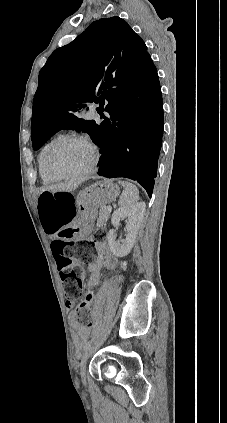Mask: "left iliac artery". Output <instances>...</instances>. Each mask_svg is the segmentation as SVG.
<instances>
[{"instance_id": "1", "label": "left iliac artery", "mask_w": 227, "mask_h": 423, "mask_svg": "<svg viewBox=\"0 0 227 423\" xmlns=\"http://www.w3.org/2000/svg\"><path fill=\"white\" fill-rule=\"evenodd\" d=\"M91 343H92V341H89V342L85 345L84 350H85V349H87V348L91 345Z\"/></svg>"}]
</instances>
